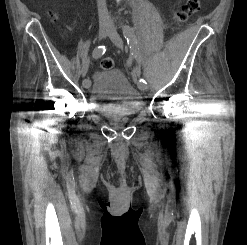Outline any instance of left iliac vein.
<instances>
[{
    "label": "left iliac vein",
    "instance_id": "left-iliac-vein-1",
    "mask_svg": "<svg viewBox=\"0 0 247 245\" xmlns=\"http://www.w3.org/2000/svg\"><path fill=\"white\" fill-rule=\"evenodd\" d=\"M109 37L112 40V42L114 43V45H116L120 49H123V41H122L120 35L118 34L117 30L114 27L110 28ZM138 87L141 90H146L148 88L147 85H143L140 83H138Z\"/></svg>",
    "mask_w": 247,
    "mask_h": 245
}]
</instances>
